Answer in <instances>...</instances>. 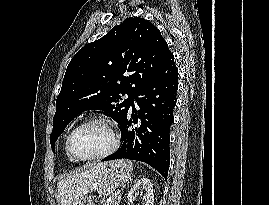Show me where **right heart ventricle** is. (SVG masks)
Masks as SVG:
<instances>
[{"mask_svg": "<svg viewBox=\"0 0 269 205\" xmlns=\"http://www.w3.org/2000/svg\"><path fill=\"white\" fill-rule=\"evenodd\" d=\"M68 136H66L65 140H64V150H65V153H66V156L67 158L70 160V161H74V159L68 154V151H67V140H68Z\"/></svg>", "mask_w": 269, "mask_h": 205, "instance_id": "1", "label": "right heart ventricle"}]
</instances>
